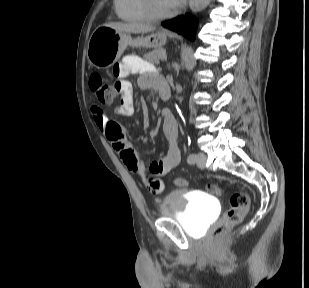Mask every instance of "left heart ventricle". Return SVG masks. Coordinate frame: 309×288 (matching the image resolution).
I'll list each match as a JSON object with an SVG mask.
<instances>
[{
    "instance_id": "obj_1",
    "label": "left heart ventricle",
    "mask_w": 309,
    "mask_h": 288,
    "mask_svg": "<svg viewBox=\"0 0 309 288\" xmlns=\"http://www.w3.org/2000/svg\"><path fill=\"white\" fill-rule=\"evenodd\" d=\"M157 6L161 11H170L173 9L167 0H156Z\"/></svg>"
}]
</instances>
